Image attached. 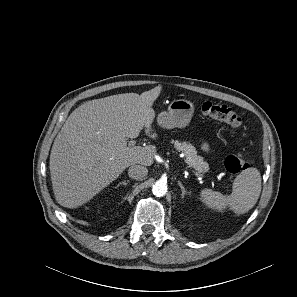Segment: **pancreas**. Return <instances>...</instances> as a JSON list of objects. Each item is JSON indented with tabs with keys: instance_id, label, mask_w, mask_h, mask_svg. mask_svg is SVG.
Masks as SVG:
<instances>
[{
	"instance_id": "pancreas-1",
	"label": "pancreas",
	"mask_w": 297,
	"mask_h": 297,
	"mask_svg": "<svg viewBox=\"0 0 297 297\" xmlns=\"http://www.w3.org/2000/svg\"><path fill=\"white\" fill-rule=\"evenodd\" d=\"M174 147L179 152L185 154V162L189 167H193L197 172H206L209 169L207 162L203 160V157L197 154L195 147L187 142L172 141Z\"/></svg>"
}]
</instances>
